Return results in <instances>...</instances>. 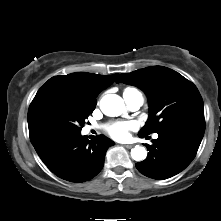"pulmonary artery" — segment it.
<instances>
[{"label": "pulmonary artery", "mask_w": 221, "mask_h": 221, "mask_svg": "<svg viewBox=\"0 0 221 221\" xmlns=\"http://www.w3.org/2000/svg\"><path fill=\"white\" fill-rule=\"evenodd\" d=\"M123 97L128 108L132 111L138 110L144 102L143 96L140 92L132 94H123ZM89 129H91V127H89L88 130ZM154 137L157 138V135H155Z\"/></svg>", "instance_id": "pulmonary-artery-1"}]
</instances>
